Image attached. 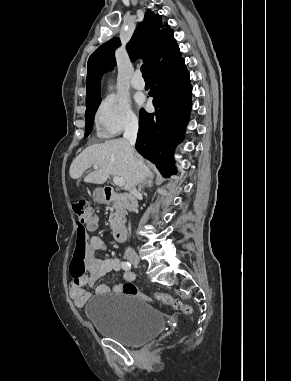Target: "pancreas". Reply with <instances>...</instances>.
Returning a JSON list of instances; mask_svg holds the SVG:
<instances>
[{
	"mask_svg": "<svg viewBox=\"0 0 291 381\" xmlns=\"http://www.w3.org/2000/svg\"><path fill=\"white\" fill-rule=\"evenodd\" d=\"M125 221V210L119 203H114L109 217L110 227L114 229L121 222Z\"/></svg>",
	"mask_w": 291,
	"mask_h": 381,
	"instance_id": "cf45deb5",
	"label": "pancreas"
}]
</instances>
